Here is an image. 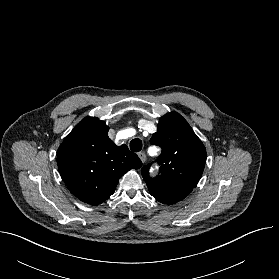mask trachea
Segmentation results:
<instances>
[{
    "mask_svg": "<svg viewBox=\"0 0 279 279\" xmlns=\"http://www.w3.org/2000/svg\"><path fill=\"white\" fill-rule=\"evenodd\" d=\"M130 149L134 152H139L142 149V141L138 138L133 139L130 142Z\"/></svg>",
    "mask_w": 279,
    "mask_h": 279,
    "instance_id": "trachea-1",
    "label": "trachea"
}]
</instances>
